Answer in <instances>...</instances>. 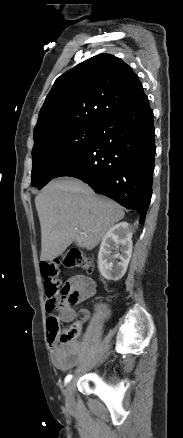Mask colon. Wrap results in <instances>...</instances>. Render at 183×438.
I'll list each match as a JSON object with an SVG mask.
<instances>
[{"mask_svg": "<svg viewBox=\"0 0 183 438\" xmlns=\"http://www.w3.org/2000/svg\"><path fill=\"white\" fill-rule=\"evenodd\" d=\"M61 266L92 271L94 261L92 257L83 254L78 249H70L61 258L40 264L46 294L45 307L46 311L50 314L47 319L48 332L60 336V339L64 342H70L76 338L79 331L74 325L60 330L57 312L65 301L71 304L77 303L78 295L66 284L60 288L59 274Z\"/></svg>", "mask_w": 183, "mask_h": 438, "instance_id": "colon-1", "label": "colon"}]
</instances>
